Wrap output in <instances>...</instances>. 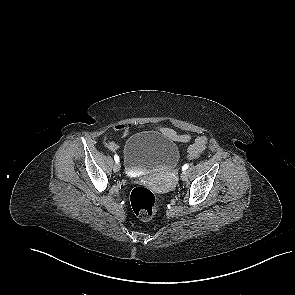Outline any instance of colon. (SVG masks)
Here are the masks:
<instances>
[{
	"mask_svg": "<svg viewBox=\"0 0 295 295\" xmlns=\"http://www.w3.org/2000/svg\"><path fill=\"white\" fill-rule=\"evenodd\" d=\"M130 204L135 215L141 220L151 219L158 208V199L149 189L138 186L130 192Z\"/></svg>",
	"mask_w": 295,
	"mask_h": 295,
	"instance_id": "1",
	"label": "colon"
}]
</instances>
